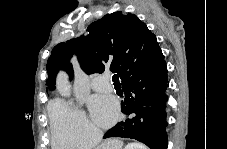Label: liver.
Masks as SVG:
<instances>
[{
    "label": "liver",
    "instance_id": "1",
    "mask_svg": "<svg viewBox=\"0 0 227 149\" xmlns=\"http://www.w3.org/2000/svg\"><path fill=\"white\" fill-rule=\"evenodd\" d=\"M144 149H146V146L142 145ZM123 142L119 139H109L102 143L100 146L97 147V149H122Z\"/></svg>",
    "mask_w": 227,
    "mask_h": 149
}]
</instances>
